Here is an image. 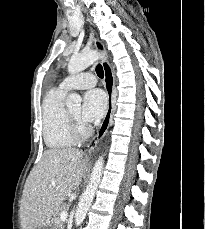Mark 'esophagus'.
Wrapping results in <instances>:
<instances>
[{
  "label": "esophagus",
  "instance_id": "1",
  "mask_svg": "<svg viewBox=\"0 0 205 229\" xmlns=\"http://www.w3.org/2000/svg\"><path fill=\"white\" fill-rule=\"evenodd\" d=\"M95 47L97 50H99L103 55H106V50L104 45L98 40L95 39ZM102 67L104 71V78H105V88L108 95V105L107 110L105 113V116L103 118V121L97 131L96 136L93 138V140L90 142V144L87 147V153L91 154L99 142L104 138L110 124L112 110H113V90H114V78L113 73L111 70V67L109 65V62L106 58L102 59Z\"/></svg>",
  "mask_w": 205,
  "mask_h": 229
}]
</instances>
